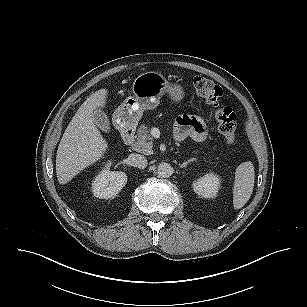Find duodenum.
<instances>
[{"label":"duodenum","mask_w":307,"mask_h":307,"mask_svg":"<svg viewBox=\"0 0 307 307\" xmlns=\"http://www.w3.org/2000/svg\"><path fill=\"white\" fill-rule=\"evenodd\" d=\"M135 139V131L132 129H127L123 132V142L126 146L133 144Z\"/></svg>","instance_id":"obj_1"}]
</instances>
